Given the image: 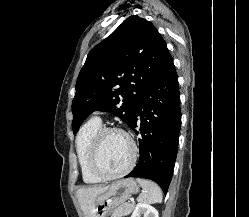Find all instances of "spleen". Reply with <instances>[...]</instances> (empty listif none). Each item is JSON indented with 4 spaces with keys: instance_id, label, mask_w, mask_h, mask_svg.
I'll use <instances>...</instances> for the list:
<instances>
[{
    "instance_id": "1",
    "label": "spleen",
    "mask_w": 249,
    "mask_h": 217,
    "mask_svg": "<svg viewBox=\"0 0 249 217\" xmlns=\"http://www.w3.org/2000/svg\"><path fill=\"white\" fill-rule=\"evenodd\" d=\"M136 181L143 188V192L138 197L139 202H144V203L162 202V191L156 183L142 178H137Z\"/></svg>"
}]
</instances>
